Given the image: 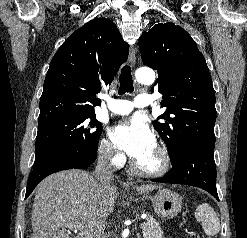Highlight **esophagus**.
Listing matches in <instances>:
<instances>
[{
    "label": "esophagus",
    "mask_w": 247,
    "mask_h": 238,
    "mask_svg": "<svg viewBox=\"0 0 247 238\" xmlns=\"http://www.w3.org/2000/svg\"><path fill=\"white\" fill-rule=\"evenodd\" d=\"M129 62H130V65L134 68L135 63H136V55H135V49L133 47H130Z\"/></svg>",
    "instance_id": "1"
}]
</instances>
